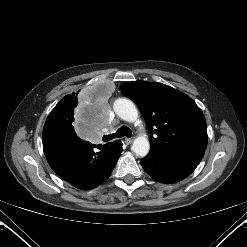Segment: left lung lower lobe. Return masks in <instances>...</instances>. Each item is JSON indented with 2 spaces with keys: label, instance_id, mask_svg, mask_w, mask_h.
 <instances>
[{
  "label": "left lung lower lobe",
  "instance_id": "1",
  "mask_svg": "<svg viewBox=\"0 0 247 247\" xmlns=\"http://www.w3.org/2000/svg\"><path fill=\"white\" fill-rule=\"evenodd\" d=\"M203 155L204 149L200 148L168 151L151 147L149 154L141 160V165L156 181L176 183L195 170Z\"/></svg>",
  "mask_w": 247,
  "mask_h": 247
}]
</instances>
